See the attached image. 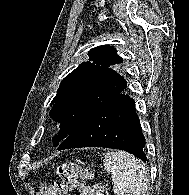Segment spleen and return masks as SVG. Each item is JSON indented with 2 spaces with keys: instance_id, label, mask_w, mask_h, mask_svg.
Returning a JSON list of instances; mask_svg holds the SVG:
<instances>
[{
  "instance_id": "obj_1",
  "label": "spleen",
  "mask_w": 189,
  "mask_h": 195,
  "mask_svg": "<svg viewBox=\"0 0 189 195\" xmlns=\"http://www.w3.org/2000/svg\"><path fill=\"white\" fill-rule=\"evenodd\" d=\"M105 170L111 173L116 195H146L148 172L141 160L125 152L107 153Z\"/></svg>"
}]
</instances>
